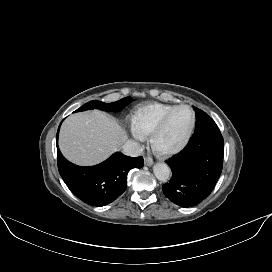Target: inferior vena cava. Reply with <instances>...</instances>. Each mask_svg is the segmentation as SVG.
<instances>
[{
    "mask_svg": "<svg viewBox=\"0 0 272 272\" xmlns=\"http://www.w3.org/2000/svg\"><path fill=\"white\" fill-rule=\"evenodd\" d=\"M122 153L131 157H136L141 155L142 148L141 146L132 140L126 141L123 146L121 147Z\"/></svg>",
    "mask_w": 272,
    "mask_h": 272,
    "instance_id": "602c4592",
    "label": "inferior vena cava"
}]
</instances>
